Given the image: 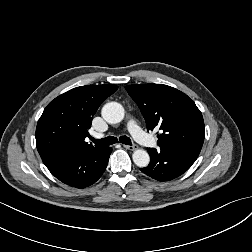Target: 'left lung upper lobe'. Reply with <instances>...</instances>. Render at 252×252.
Segmentation results:
<instances>
[{"label":"left lung upper lobe","instance_id":"5c2ea615","mask_svg":"<svg viewBox=\"0 0 252 252\" xmlns=\"http://www.w3.org/2000/svg\"><path fill=\"white\" fill-rule=\"evenodd\" d=\"M148 130L160 129V148L186 149L200 153L204 121L195 103L183 92L163 84L128 85Z\"/></svg>","mask_w":252,"mask_h":252}]
</instances>
